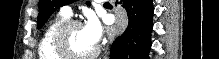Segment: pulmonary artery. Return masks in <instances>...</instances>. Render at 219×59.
Listing matches in <instances>:
<instances>
[{
	"label": "pulmonary artery",
	"instance_id": "e3ab8cb5",
	"mask_svg": "<svg viewBox=\"0 0 219 59\" xmlns=\"http://www.w3.org/2000/svg\"><path fill=\"white\" fill-rule=\"evenodd\" d=\"M60 13L67 17H70L72 15V8L70 6H63L60 10Z\"/></svg>",
	"mask_w": 219,
	"mask_h": 59
}]
</instances>
